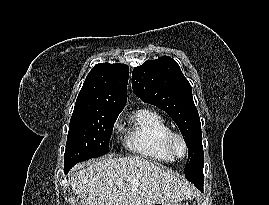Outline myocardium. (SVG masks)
Wrapping results in <instances>:
<instances>
[{
  "mask_svg": "<svg viewBox=\"0 0 269 205\" xmlns=\"http://www.w3.org/2000/svg\"><path fill=\"white\" fill-rule=\"evenodd\" d=\"M180 141L183 145V153L179 154L176 150V142ZM164 145L167 151L175 158V159H182L187 156L189 151L188 142L185 136L179 132L171 131L168 133L164 139Z\"/></svg>",
  "mask_w": 269,
  "mask_h": 205,
  "instance_id": "obj_1",
  "label": "myocardium"
}]
</instances>
